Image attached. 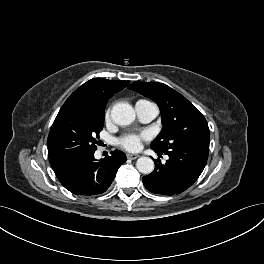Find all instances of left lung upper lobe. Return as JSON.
Instances as JSON below:
<instances>
[{
  "label": "left lung upper lobe",
  "mask_w": 264,
  "mask_h": 264,
  "mask_svg": "<svg viewBox=\"0 0 264 264\" xmlns=\"http://www.w3.org/2000/svg\"><path fill=\"white\" fill-rule=\"evenodd\" d=\"M128 88L152 99L160 108L164 128L152 142L153 150L166 153L188 145L209 151L207 121L184 96L162 83L134 82Z\"/></svg>",
  "instance_id": "left-lung-upper-lobe-1"
}]
</instances>
